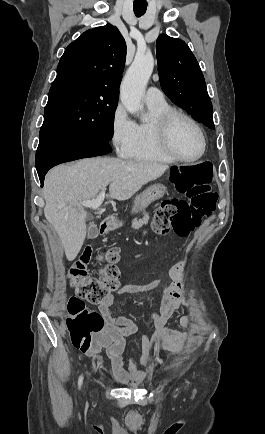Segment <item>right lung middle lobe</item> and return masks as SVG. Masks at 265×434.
I'll use <instances>...</instances> for the list:
<instances>
[{"label":"right lung middle lobe","mask_w":265,"mask_h":434,"mask_svg":"<svg viewBox=\"0 0 265 434\" xmlns=\"http://www.w3.org/2000/svg\"><path fill=\"white\" fill-rule=\"evenodd\" d=\"M119 91L87 79L54 81L40 135L47 131L71 138L109 141Z\"/></svg>","instance_id":"obj_1"}]
</instances>
